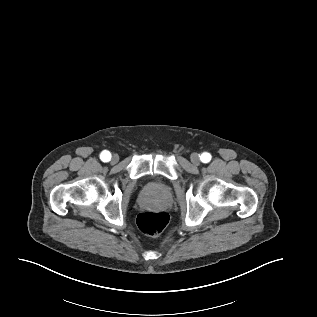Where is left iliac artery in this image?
I'll return each mask as SVG.
<instances>
[{
	"label": "left iliac artery",
	"instance_id": "left-iliac-artery-1",
	"mask_svg": "<svg viewBox=\"0 0 317 317\" xmlns=\"http://www.w3.org/2000/svg\"><path fill=\"white\" fill-rule=\"evenodd\" d=\"M200 160L203 163H208L211 160V155L209 153H207V152L202 153L201 156H200Z\"/></svg>",
	"mask_w": 317,
	"mask_h": 317
}]
</instances>
